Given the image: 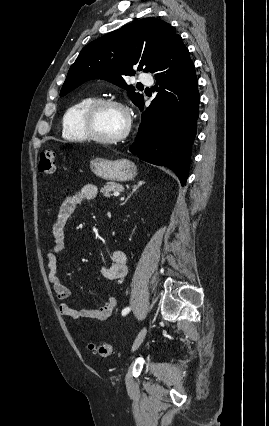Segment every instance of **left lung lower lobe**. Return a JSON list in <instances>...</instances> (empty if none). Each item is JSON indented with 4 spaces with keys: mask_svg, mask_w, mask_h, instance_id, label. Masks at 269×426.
<instances>
[{
    "mask_svg": "<svg viewBox=\"0 0 269 426\" xmlns=\"http://www.w3.org/2000/svg\"><path fill=\"white\" fill-rule=\"evenodd\" d=\"M158 94L142 114L130 151L140 159L170 168L184 185L199 115L195 67L178 36L150 71ZM144 108V101L138 106Z\"/></svg>",
    "mask_w": 269,
    "mask_h": 426,
    "instance_id": "left-lung-lower-lobe-1",
    "label": "left lung lower lobe"
}]
</instances>
